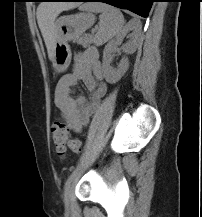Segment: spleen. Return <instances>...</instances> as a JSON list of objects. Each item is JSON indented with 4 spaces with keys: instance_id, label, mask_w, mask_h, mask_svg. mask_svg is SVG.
Instances as JSON below:
<instances>
[{
    "instance_id": "obj_1",
    "label": "spleen",
    "mask_w": 202,
    "mask_h": 217,
    "mask_svg": "<svg viewBox=\"0 0 202 217\" xmlns=\"http://www.w3.org/2000/svg\"><path fill=\"white\" fill-rule=\"evenodd\" d=\"M81 9L101 13L99 30L95 35V44L97 46L106 43L122 31L124 17L119 9L105 3H87L82 5Z\"/></svg>"
}]
</instances>
